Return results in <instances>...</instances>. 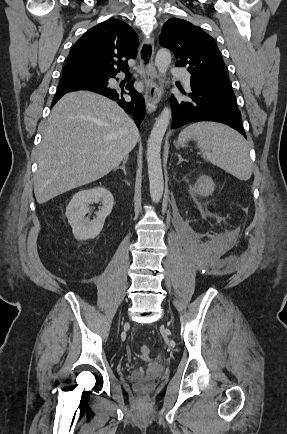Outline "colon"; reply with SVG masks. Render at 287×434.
Returning <instances> with one entry per match:
<instances>
[{"label":"colon","mask_w":287,"mask_h":434,"mask_svg":"<svg viewBox=\"0 0 287 434\" xmlns=\"http://www.w3.org/2000/svg\"><path fill=\"white\" fill-rule=\"evenodd\" d=\"M139 351L142 358H147L150 354V348L147 345H141Z\"/></svg>","instance_id":"5ec220e1"}]
</instances>
